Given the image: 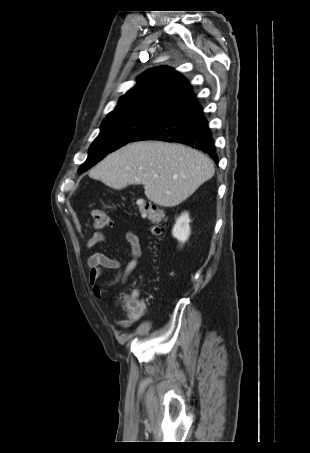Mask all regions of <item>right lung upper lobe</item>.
I'll return each instance as SVG.
<instances>
[{
	"label": "right lung upper lobe",
	"mask_w": 310,
	"mask_h": 453,
	"mask_svg": "<svg viewBox=\"0 0 310 453\" xmlns=\"http://www.w3.org/2000/svg\"><path fill=\"white\" fill-rule=\"evenodd\" d=\"M192 93L190 83L174 69L153 68L139 77L138 83L121 96L116 108L108 114L160 116L170 106Z\"/></svg>",
	"instance_id": "obj_1"
}]
</instances>
